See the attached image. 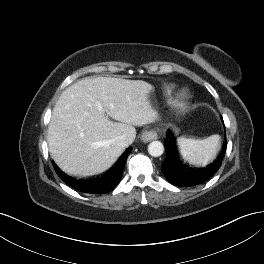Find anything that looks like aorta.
I'll return each mask as SVG.
<instances>
[{
    "mask_svg": "<svg viewBox=\"0 0 264 264\" xmlns=\"http://www.w3.org/2000/svg\"><path fill=\"white\" fill-rule=\"evenodd\" d=\"M164 152V146L160 141H152L148 145V153L153 157H159Z\"/></svg>",
    "mask_w": 264,
    "mask_h": 264,
    "instance_id": "1",
    "label": "aorta"
}]
</instances>
